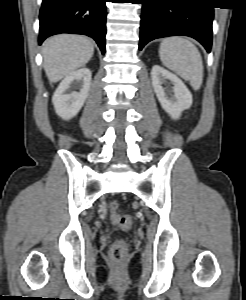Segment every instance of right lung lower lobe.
Segmentation results:
<instances>
[{
    "label": "right lung lower lobe",
    "mask_w": 246,
    "mask_h": 300,
    "mask_svg": "<svg viewBox=\"0 0 246 300\" xmlns=\"http://www.w3.org/2000/svg\"><path fill=\"white\" fill-rule=\"evenodd\" d=\"M106 0H43L39 44L59 33L84 34L105 53Z\"/></svg>",
    "instance_id": "obj_1"
}]
</instances>
